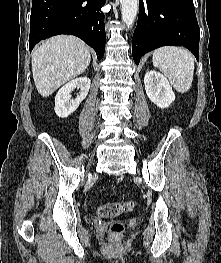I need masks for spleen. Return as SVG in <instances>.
<instances>
[{"label":"spleen","instance_id":"1","mask_svg":"<svg viewBox=\"0 0 221 263\" xmlns=\"http://www.w3.org/2000/svg\"><path fill=\"white\" fill-rule=\"evenodd\" d=\"M152 62L176 91L185 93L191 88L194 57L190 51L174 46L160 47L153 52Z\"/></svg>","mask_w":221,"mask_h":263}]
</instances>
